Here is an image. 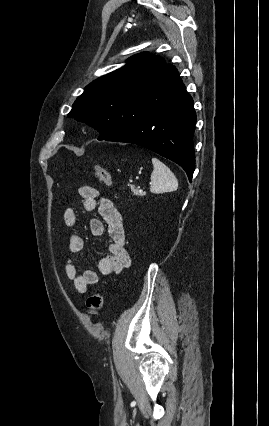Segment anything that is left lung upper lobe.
<instances>
[{"label": "left lung upper lobe", "mask_w": 269, "mask_h": 426, "mask_svg": "<svg viewBox=\"0 0 269 426\" xmlns=\"http://www.w3.org/2000/svg\"><path fill=\"white\" fill-rule=\"evenodd\" d=\"M166 65L164 59L143 52L130 57L122 68L90 83L72 106L68 117L93 126L109 138L135 93L147 87Z\"/></svg>", "instance_id": "1"}]
</instances>
